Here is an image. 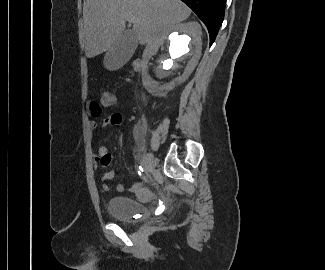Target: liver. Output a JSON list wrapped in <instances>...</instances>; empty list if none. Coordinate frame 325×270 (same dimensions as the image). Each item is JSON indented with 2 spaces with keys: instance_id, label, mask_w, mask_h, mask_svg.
<instances>
[{
  "instance_id": "6515ba94",
  "label": "liver",
  "mask_w": 325,
  "mask_h": 270,
  "mask_svg": "<svg viewBox=\"0 0 325 270\" xmlns=\"http://www.w3.org/2000/svg\"><path fill=\"white\" fill-rule=\"evenodd\" d=\"M191 10L180 0H87L84 9L85 54L93 58L107 50L124 32L127 17H135L133 31L149 57L158 37L186 20Z\"/></svg>"
}]
</instances>
